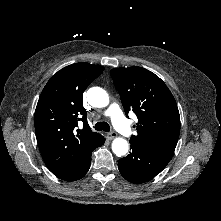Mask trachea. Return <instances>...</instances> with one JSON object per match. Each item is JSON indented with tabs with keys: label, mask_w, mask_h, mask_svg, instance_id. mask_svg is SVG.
Wrapping results in <instances>:
<instances>
[{
	"label": "trachea",
	"mask_w": 221,
	"mask_h": 221,
	"mask_svg": "<svg viewBox=\"0 0 221 221\" xmlns=\"http://www.w3.org/2000/svg\"><path fill=\"white\" fill-rule=\"evenodd\" d=\"M95 130L97 131H105V132H109L110 131V126L108 123L106 122H97L94 126Z\"/></svg>",
	"instance_id": "3493384b"
}]
</instances>
